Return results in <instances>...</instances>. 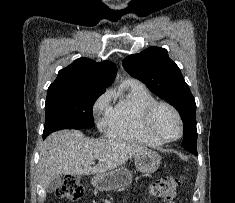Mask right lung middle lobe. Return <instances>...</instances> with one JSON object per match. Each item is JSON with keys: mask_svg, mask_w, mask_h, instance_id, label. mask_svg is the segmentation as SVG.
Listing matches in <instances>:
<instances>
[{"mask_svg": "<svg viewBox=\"0 0 235 203\" xmlns=\"http://www.w3.org/2000/svg\"><path fill=\"white\" fill-rule=\"evenodd\" d=\"M103 92L88 87L48 89L43 136L61 129L92 128V107Z\"/></svg>", "mask_w": 235, "mask_h": 203, "instance_id": "1", "label": "right lung middle lobe"}]
</instances>
